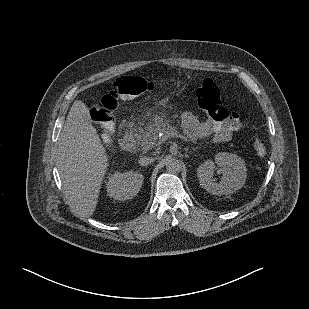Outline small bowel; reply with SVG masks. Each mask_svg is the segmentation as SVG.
<instances>
[{
  "mask_svg": "<svg viewBox=\"0 0 309 309\" xmlns=\"http://www.w3.org/2000/svg\"><path fill=\"white\" fill-rule=\"evenodd\" d=\"M183 126L191 141L212 137V140L217 143L228 142L235 132L233 126L220 125L210 120L201 121L190 113L184 116Z\"/></svg>",
  "mask_w": 309,
  "mask_h": 309,
  "instance_id": "small-bowel-1",
  "label": "small bowel"
}]
</instances>
